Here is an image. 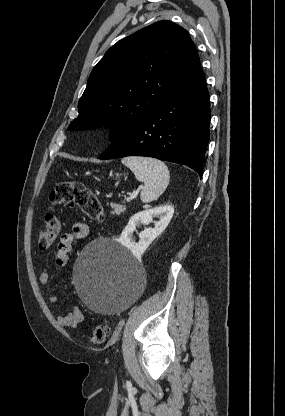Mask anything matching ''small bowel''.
I'll return each mask as SVG.
<instances>
[{"label":"small bowel","instance_id":"obj_1","mask_svg":"<svg viewBox=\"0 0 285 416\" xmlns=\"http://www.w3.org/2000/svg\"><path fill=\"white\" fill-rule=\"evenodd\" d=\"M89 235V227L83 222H77L72 226V230L69 233L61 235L57 245V253L55 262L57 266L64 267L68 263V254L72 250L73 243L77 240L85 239ZM50 274L47 271L40 273L39 280L42 285H47L50 282ZM47 299L50 303H57L58 296L49 291L47 293ZM85 317L82 311L78 307L71 308L68 312L62 313L57 317V322L62 327L76 328L84 321Z\"/></svg>","mask_w":285,"mask_h":416}]
</instances>
